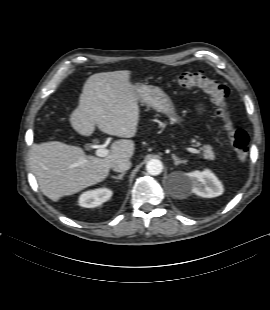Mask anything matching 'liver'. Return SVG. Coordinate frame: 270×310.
I'll return each mask as SVG.
<instances>
[{
  "mask_svg": "<svg viewBox=\"0 0 270 310\" xmlns=\"http://www.w3.org/2000/svg\"><path fill=\"white\" fill-rule=\"evenodd\" d=\"M128 70L90 76L70 115L73 129L90 136L95 126L109 135L122 137L112 143L104 158L87 155L80 147L59 141L34 144L30 165L42 193L54 202L103 181L118 159H130L135 151L140 110Z\"/></svg>",
  "mask_w": 270,
  "mask_h": 310,
  "instance_id": "6515ba94",
  "label": "liver"
}]
</instances>
